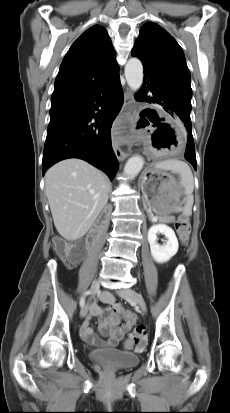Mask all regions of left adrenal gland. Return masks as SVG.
<instances>
[{"mask_svg":"<svg viewBox=\"0 0 230 413\" xmlns=\"http://www.w3.org/2000/svg\"><path fill=\"white\" fill-rule=\"evenodd\" d=\"M144 208H145V210H146V212H147V214H148L149 218L151 219L150 214H149V212L147 211V207H146V205H145V204H144Z\"/></svg>","mask_w":230,"mask_h":413,"instance_id":"1","label":"left adrenal gland"}]
</instances>
